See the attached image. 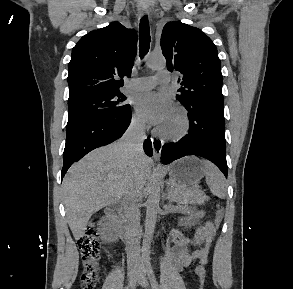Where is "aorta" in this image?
<instances>
[{"instance_id":"762f6f07","label":"aorta","mask_w":293,"mask_h":289,"mask_svg":"<svg viewBox=\"0 0 293 289\" xmlns=\"http://www.w3.org/2000/svg\"><path fill=\"white\" fill-rule=\"evenodd\" d=\"M146 65L150 69H160L166 65L165 59L162 56H149ZM162 179L157 177L149 190L148 199L146 201V219L145 233L143 239L142 252L144 256H148L150 252L151 241L156 225L157 213L159 210L160 190Z\"/></svg>"}]
</instances>
